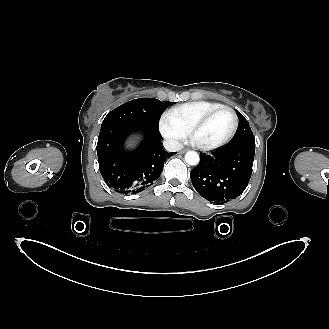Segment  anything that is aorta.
I'll list each match as a JSON object with an SVG mask.
<instances>
[{
	"label": "aorta",
	"mask_w": 329,
	"mask_h": 329,
	"mask_svg": "<svg viewBox=\"0 0 329 329\" xmlns=\"http://www.w3.org/2000/svg\"><path fill=\"white\" fill-rule=\"evenodd\" d=\"M185 161L187 164L189 165H197L200 161L199 155L198 153L194 152V151H188L185 154Z\"/></svg>",
	"instance_id": "762f6f07"
}]
</instances>
